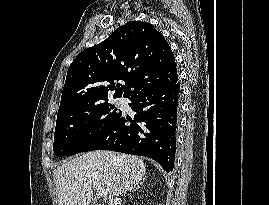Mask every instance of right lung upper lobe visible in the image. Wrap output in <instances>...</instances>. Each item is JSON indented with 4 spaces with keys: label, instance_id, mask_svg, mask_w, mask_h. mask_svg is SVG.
<instances>
[{
    "label": "right lung upper lobe",
    "instance_id": "right-lung-upper-lobe-1",
    "mask_svg": "<svg viewBox=\"0 0 269 205\" xmlns=\"http://www.w3.org/2000/svg\"><path fill=\"white\" fill-rule=\"evenodd\" d=\"M115 81H121L114 85ZM178 82L174 54L151 24L131 21L83 50L68 68L57 118Z\"/></svg>",
    "mask_w": 269,
    "mask_h": 205
}]
</instances>
